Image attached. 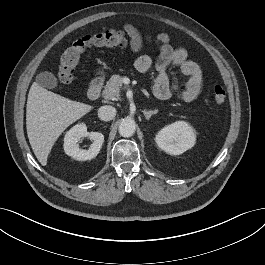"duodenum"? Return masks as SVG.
Instances as JSON below:
<instances>
[{"mask_svg":"<svg viewBox=\"0 0 265 265\" xmlns=\"http://www.w3.org/2000/svg\"><path fill=\"white\" fill-rule=\"evenodd\" d=\"M103 82L100 79L94 80L88 87L87 95L90 99H96L100 95Z\"/></svg>","mask_w":265,"mask_h":265,"instance_id":"410a0bca","label":"duodenum"}]
</instances>
